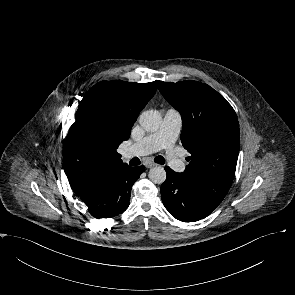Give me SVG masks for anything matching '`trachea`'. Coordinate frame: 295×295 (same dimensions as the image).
Instances as JSON below:
<instances>
[{
	"mask_svg": "<svg viewBox=\"0 0 295 295\" xmlns=\"http://www.w3.org/2000/svg\"><path fill=\"white\" fill-rule=\"evenodd\" d=\"M154 161L158 164H164L165 163V159L162 157V156H157L155 157ZM130 164L133 165V166H136V165H139L140 164V160L138 158H133L131 161H130Z\"/></svg>",
	"mask_w": 295,
	"mask_h": 295,
	"instance_id": "3493384b",
	"label": "trachea"
}]
</instances>
